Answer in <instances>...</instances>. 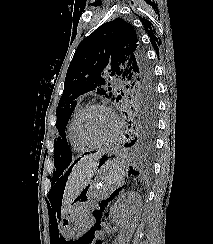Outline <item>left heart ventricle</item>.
I'll return each instance as SVG.
<instances>
[{"instance_id":"b2bd125f","label":"left heart ventricle","mask_w":213,"mask_h":244,"mask_svg":"<svg viewBox=\"0 0 213 244\" xmlns=\"http://www.w3.org/2000/svg\"><path fill=\"white\" fill-rule=\"evenodd\" d=\"M83 132L90 141H107L115 132V123L106 111L92 110L84 120Z\"/></svg>"}]
</instances>
